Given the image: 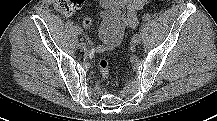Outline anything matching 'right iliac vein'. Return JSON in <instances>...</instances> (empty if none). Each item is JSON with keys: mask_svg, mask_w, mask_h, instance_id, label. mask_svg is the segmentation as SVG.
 <instances>
[{"mask_svg": "<svg viewBox=\"0 0 217 121\" xmlns=\"http://www.w3.org/2000/svg\"><path fill=\"white\" fill-rule=\"evenodd\" d=\"M79 48L82 49V50H86L87 49V45L85 43L81 42L79 44Z\"/></svg>", "mask_w": 217, "mask_h": 121, "instance_id": "right-iliac-vein-1", "label": "right iliac vein"}]
</instances>
